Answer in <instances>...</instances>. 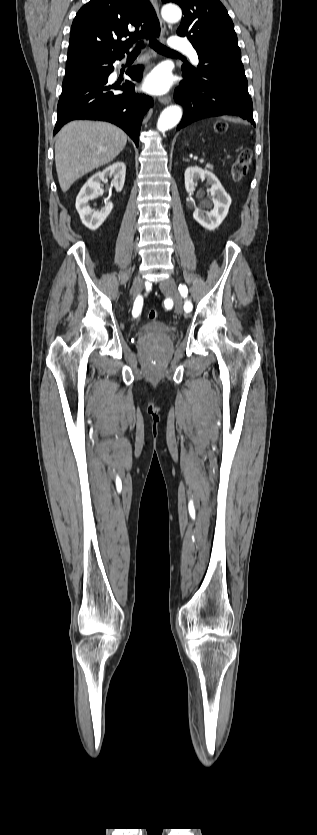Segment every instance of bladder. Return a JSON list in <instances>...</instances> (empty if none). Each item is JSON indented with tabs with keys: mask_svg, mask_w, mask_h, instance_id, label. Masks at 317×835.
I'll return each instance as SVG.
<instances>
[{
	"mask_svg": "<svg viewBox=\"0 0 317 835\" xmlns=\"http://www.w3.org/2000/svg\"><path fill=\"white\" fill-rule=\"evenodd\" d=\"M172 327L159 321H151L140 328V334L145 338H161L169 335Z\"/></svg>",
	"mask_w": 317,
	"mask_h": 835,
	"instance_id": "obj_1",
	"label": "bladder"
}]
</instances>
